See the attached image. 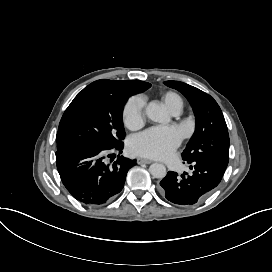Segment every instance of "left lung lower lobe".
Instances as JSON below:
<instances>
[{
  "label": "left lung lower lobe",
  "instance_id": "obj_1",
  "mask_svg": "<svg viewBox=\"0 0 272 272\" xmlns=\"http://www.w3.org/2000/svg\"><path fill=\"white\" fill-rule=\"evenodd\" d=\"M193 175L182 179L176 172L169 171L160 182V192L170 202L183 206L198 203L206 197L221 181L226 167L209 161L191 162Z\"/></svg>",
  "mask_w": 272,
  "mask_h": 272
}]
</instances>
